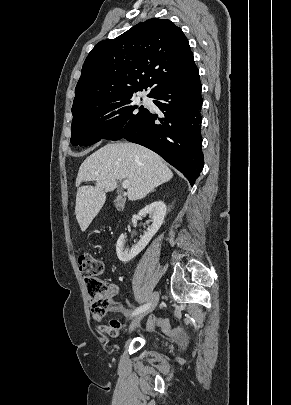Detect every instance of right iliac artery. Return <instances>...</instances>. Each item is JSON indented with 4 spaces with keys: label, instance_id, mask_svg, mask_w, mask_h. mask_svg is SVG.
<instances>
[{
    "label": "right iliac artery",
    "instance_id": "82829eb1",
    "mask_svg": "<svg viewBox=\"0 0 291 405\" xmlns=\"http://www.w3.org/2000/svg\"><path fill=\"white\" fill-rule=\"evenodd\" d=\"M149 306H150V303H147V304H144L143 306H140V307L136 308L133 311L132 316L143 313L144 311H146L149 308Z\"/></svg>",
    "mask_w": 291,
    "mask_h": 405
}]
</instances>
